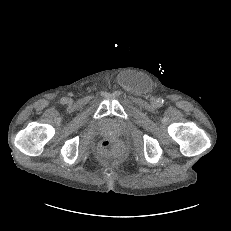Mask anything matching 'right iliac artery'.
Returning a JSON list of instances; mask_svg holds the SVG:
<instances>
[{
    "instance_id": "82829eb1",
    "label": "right iliac artery",
    "mask_w": 231,
    "mask_h": 231,
    "mask_svg": "<svg viewBox=\"0 0 231 231\" xmlns=\"http://www.w3.org/2000/svg\"><path fill=\"white\" fill-rule=\"evenodd\" d=\"M61 101H62V102H65V98H62Z\"/></svg>"
}]
</instances>
